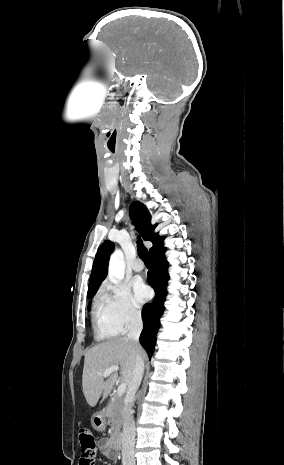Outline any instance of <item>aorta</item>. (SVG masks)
<instances>
[{
	"mask_svg": "<svg viewBox=\"0 0 284 465\" xmlns=\"http://www.w3.org/2000/svg\"><path fill=\"white\" fill-rule=\"evenodd\" d=\"M108 275L118 283L123 280L125 275V261L123 252L119 249L115 250L110 257Z\"/></svg>",
	"mask_w": 284,
	"mask_h": 465,
	"instance_id": "obj_1",
	"label": "aorta"
}]
</instances>
